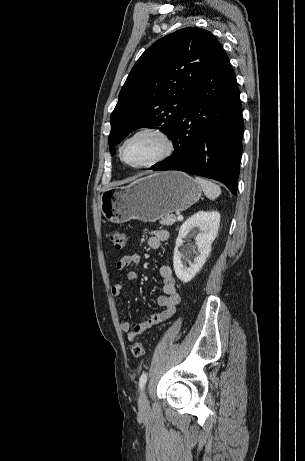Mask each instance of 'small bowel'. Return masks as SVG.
<instances>
[{
	"label": "small bowel",
	"instance_id": "obj_1",
	"mask_svg": "<svg viewBox=\"0 0 305 461\" xmlns=\"http://www.w3.org/2000/svg\"><path fill=\"white\" fill-rule=\"evenodd\" d=\"M169 232L165 229L154 230L148 239V246L153 250H158L162 243L169 239ZM141 263V256L138 253L123 256L116 264L119 272L126 273L128 280L135 281L137 279V268ZM159 275L162 279L163 294L158 297L157 302L162 307V310L152 314L147 320L136 324L133 328L128 320H123L120 323V329L126 334L129 341H134L141 334L158 325L159 323L169 319L175 312L176 306L181 301V296L176 288L175 278L169 266H161ZM124 286L117 283L112 286L111 294L115 298L121 297Z\"/></svg>",
	"mask_w": 305,
	"mask_h": 461
}]
</instances>
